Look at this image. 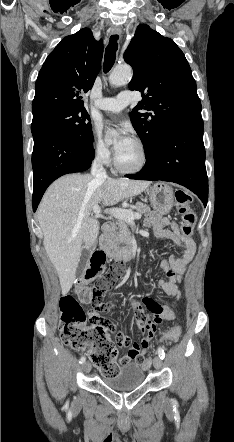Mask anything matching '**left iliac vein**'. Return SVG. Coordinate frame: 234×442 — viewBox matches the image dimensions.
Wrapping results in <instances>:
<instances>
[{"label":"left iliac vein","mask_w":234,"mask_h":442,"mask_svg":"<svg viewBox=\"0 0 234 442\" xmlns=\"http://www.w3.org/2000/svg\"><path fill=\"white\" fill-rule=\"evenodd\" d=\"M153 365L157 370H160L163 366L162 359L159 356H155L153 359Z\"/></svg>","instance_id":"4c4485c4"}]
</instances>
